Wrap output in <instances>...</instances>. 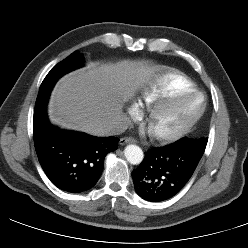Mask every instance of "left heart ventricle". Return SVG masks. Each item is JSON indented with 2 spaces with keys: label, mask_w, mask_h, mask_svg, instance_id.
I'll return each instance as SVG.
<instances>
[{
  "label": "left heart ventricle",
  "mask_w": 248,
  "mask_h": 248,
  "mask_svg": "<svg viewBox=\"0 0 248 248\" xmlns=\"http://www.w3.org/2000/svg\"><path fill=\"white\" fill-rule=\"evenodd\" d=\"M202 103L203 98L198 94L181 99L170 111L153 121L151 131L159 134L177 129L200 110Z\"/></svg>",
  "instance_id": "1"
}]
</instances>
